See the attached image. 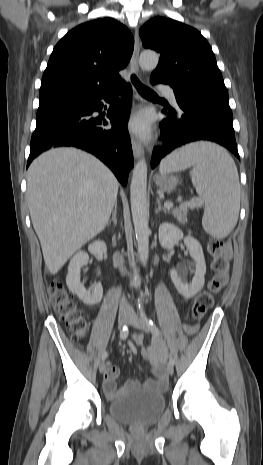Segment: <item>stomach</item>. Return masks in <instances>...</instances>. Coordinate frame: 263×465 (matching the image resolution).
<instances>
[{"instance_id":"1","label":"stomach","mask_w":263,"mask_h":465,"mask_svg":"<svg viewBox=\"0 0 263 465\" xmlns=\"http://www.w3.org/2000/svg\"><path fill=\"white\" fill-rule=\"evenodd\" d=\"M154 180L156 185L165 192H171L178 183L175 177L168 175L155 176Z\"/></svg>"}]
</instances>
